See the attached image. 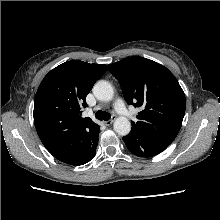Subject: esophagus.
<instances>
[{
    "instance_id": "obj_1",
    "label": "esophagus",
    "mask_w": 220,
    "mask_h": 220,
    "mask_svg": "<svg viewBox=\"0 0 220 220\" xmlns=\"http://www.w3.org/2000/svg\"><path fill=\"white\" fill-rule=\"evenodd\" d=\"M114 120H115V118H112V119H110V120H108V121H105L104 124H105L106 126H109V125H111V124L114 122Z\"/></svg>"
}]
</instances>
